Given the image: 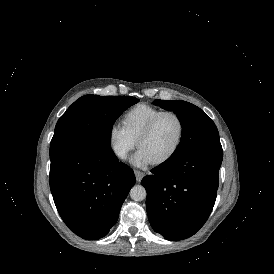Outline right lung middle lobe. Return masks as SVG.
Segmentation results:
<instances>
[{
  "mask_svg": "<svg viewBox=\"0 0 274 274\" xmlns=\"http://www.w3.org/2000/svg\"><path fill=\"white\" fill-rule=\"evenodd\" d=\"M139 99L130 96L85 95L58 120L50 144V159L83 147H111L115 120Z\"/></svg>",
  "mask_w": 274,
  "mask_h": 274,
  "instance_id": "1",
  "label": "right lung middle lobe"
}]
</instances>
